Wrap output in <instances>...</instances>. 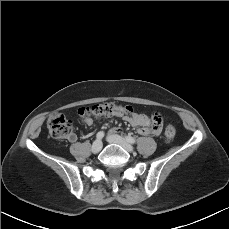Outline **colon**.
<instances>
[{
  "label": "colon",
  "mask_w": 229,
  "mask_h": 229,
  "mask_svg": "<svg viewBox=\"0 0 229 229\" xmlns=\"http://www.w3.org/2000/svg\"><path fill=\"white\" fill-rule=\"evenodd\" d=\"M134 108L131 105H120L116 103H102L94 104L87 107H82L79 109V114L83 117H101V116H110L115 114H124L132 113ZM149 121L155 125L159 126L163 117L162 114L158 111L151 113ZM47 127L49 134L54 139H66L72 135V124L66 118V116L58 111L53 113L47 120ZM174 127H168L165 130V139L171 141L175 136Z\"/></svg>",
  "instance_id": "1"
}]
</instances>
